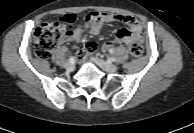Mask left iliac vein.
Returning <instances> with one entry per match:
<instances>
[{
	"mask_svg": "<svg viewBox=\"0 0 194 133\" xmlns=\"http://www.w3.org/2000/svg\"><path fill=\"white\" fill-rule=\"evenodd\" d=\"M94 61L97 63V65L99 67H101L106 72L114 73V72H116L118 70V66H116V65H114V64H112L110 62H107V61H105L103 59L95 57Z\"/></svg>",
	"mask_w": 194,
	"mask_h": 133,
	"instance_id": "1",
	"label": "left iliac vein"
}]
</instances>
